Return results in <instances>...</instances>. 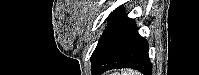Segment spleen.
<instances>
[{"label":"spleen","mask_w":199,"mask_h":75,"mask_svg":"<svg viewBox=\"0 0 199 75\" xmlns=\"http://www.w3.org/2000/svg\"><path fill=\"white\" fill-rule=\"evenodd\" d=\"M123 75H140V74L138 72L130 71L129 73H123Z\"/></svg>","instance_id":"obj_1"}]
</instances>
